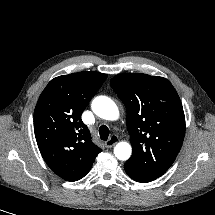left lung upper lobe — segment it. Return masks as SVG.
<instances>
[{"label": "left lung upper lobe", "mask_w": 215, "mask_h": 215, "mask_svg": "<svg viewBox=\"0 0 215 215\" xmlns=\"http://www.w3.org/2000/svg\"><path fill=\"white\" fill-rule=\"evenodd\" d=\"M111 86L127 110V128L133 148L124 167L149 179L162 176L178 155L185 116L180 98L163 77L121 74Z\"/></svg>", "instance_id": "left-lung-upper-lobe-1"}]
</instances>
